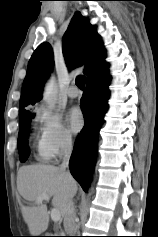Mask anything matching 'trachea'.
<instances>
[{"label":"trachea","mask_w":158,"mask_h":237,"mask_svg":"<svg viewBox=\"0 0 158 237\" xmlns=\"http://www.w3.org/2000/svg\"><path fill=\"white\" fill-rule=\"evenodd\" d=\"M76 82V85L81 89V90H84L85 88V76L81 75V76H78L75 80Z\"/></svg>","instance_id":"1"}]
</instances>
